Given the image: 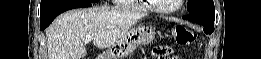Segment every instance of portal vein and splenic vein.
Returning a JSON list of instances; mask_svg holds the SVG:
<instances>
[{
	"label": "portal vein and splenic vein",
	"mask_w": 261,
	"mask_h": 59,
	"mask_svg": "<svg viewBox=\"0 0 261 59\" xmlns=\"http://www.w3.org/2000/svg\"><path fill=\"white\" fill-rule=\"evenodd\" d=\"M84 40H85L86 42H89V41L92 40V37H91V36H86V37L84 38Z\"/></svg>",
	"instance_id": "obj_1"
}]
</instances>
